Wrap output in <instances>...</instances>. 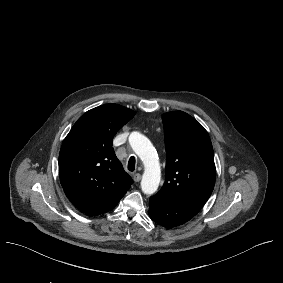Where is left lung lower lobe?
<instances>
[{
    "mask_svg": "<svg viewBox=\"0 0 283 283\" xmlns=\"http://www.w3.org/2000/svg\"><path fill=\"white\" fill-rule=\"evenodd\" d=\"M201 207L156 194L150 198L149 216L164 227L181 225L194 217Z\"/></svg>",
    "mask_w": 283,
    "mask_h": 283,
    "instance_id": "left-lung-lower-lobe-1",
    "label": "left lung lower lobe"
}]
</instances>
